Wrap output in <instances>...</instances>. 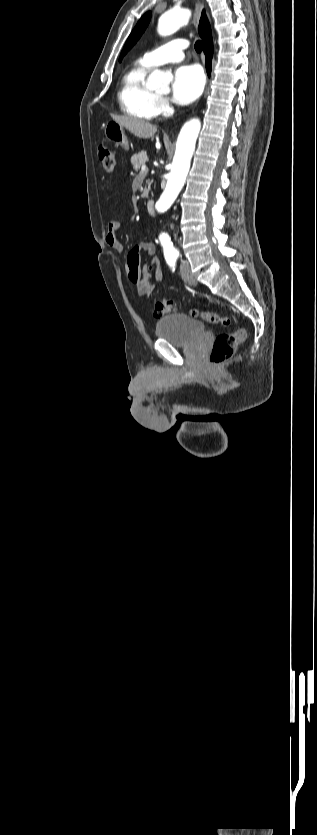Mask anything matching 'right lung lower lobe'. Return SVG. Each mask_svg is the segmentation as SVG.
<instances>
[{"label": "right lung lower lobe", "mask_w": 317, "mask_h": 835, "mask_svg": "<svg viewBox=\"0 0 317 835\" xmlns=\"http://www.w3.org/2000/svg\"><path fill=\"white\" fill-rule=\"evenodd\" d=\"M204 41V53L206 56V69L209 73L211 70V59L213 55V41L211 37V29L207 28L201 36Z\"/></svg>", "instance_id": "98d812e1"}]
</instances>
